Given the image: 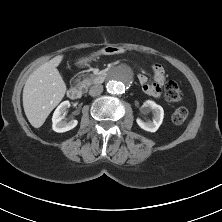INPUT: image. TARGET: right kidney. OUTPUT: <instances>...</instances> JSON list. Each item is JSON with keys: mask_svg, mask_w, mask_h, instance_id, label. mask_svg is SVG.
Here are the masks:
<instances>
[{"mask_svg": "<svg viewBox=\"0 0 222 222\" xmlns=\"http://www.w3.org/2000/svg\"><path fill=\"white\" fill-rule=\"evenodd\" d=\"M69 107H70V102L64 101L54 111L52 116V128L55 132L63 133L77 126L78 124L77 120L72 119L70 121H67L64 118L66 110Z\"/></svg>", "mask_w": 222, "mask_h": 222, "instance_id": "right-kidney-1", "label": "right kidney"}]
</instances>
